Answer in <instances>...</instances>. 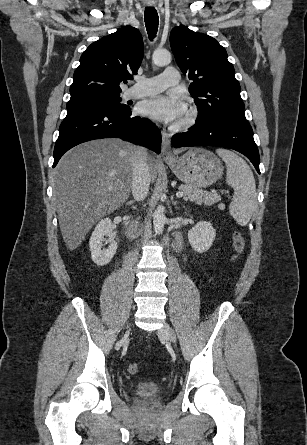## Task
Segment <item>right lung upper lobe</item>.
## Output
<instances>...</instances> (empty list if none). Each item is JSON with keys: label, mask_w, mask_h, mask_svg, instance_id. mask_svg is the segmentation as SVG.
<instances>
[{"label": "right lung upper lobe", "mask_w": 307, "mask_h": 445, "mask_svg": "<svg viewBox=\"0 0 307 445\" xmlns=\"http://www.w3.org/2000/svg\"><path fill=\"white\" fill-rule=\"evenodd\" d=\"M143 52L141 34L132 26L122 27L92 43L74 72L70 99L120 95L119 83L137 74Z\"/></svg>", "instance_id": "right-lung-upper-lobe-1"}]
</instances>
